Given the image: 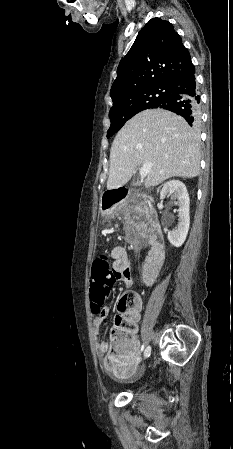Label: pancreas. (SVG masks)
<instances>
[{"instance_id":"cf45deb5","label":"pancreas","mask_w":233,"mask_h":449,"mask_svg":"<svg viewBox=\"0 0 233 449\" xmlns=\"http://www.w3.org/2000/svg\"><path fill=\"white\" fill-rule=\"evenodd\" d=\"M135 210H137V211H139V212H141L142 211V207L141 206H139V205H136L135 207Z\"/></svg>"}]
</instances>
